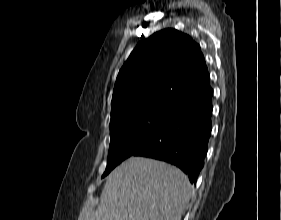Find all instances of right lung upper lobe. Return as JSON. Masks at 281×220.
Returning <instances> with one entry per match:
<instances>
[{"instance_id": "1", "label": "right lung upper lobe", "mask_w": 281, "mask_h": 220, "mask_svg": "<svg viewBox=\"0 0 281 220\" xmlns=\"http://www.w3.org/2000/svg\"><path fill=\"white\" fill-rule=\"evenodd\" d=\"M210 88L200 46L176 29L161 30L140 42L119 71L110 122L145 113L170 115Z\"/></svg>"}]
</instances>
